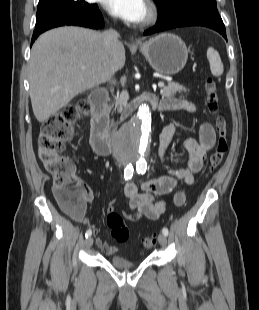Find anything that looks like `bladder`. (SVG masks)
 <instances>
[{
	"instance_id": "1",
	"label": "bladder",
	"mask_w": 259,
	"mask_h": 310,
	"mask_svg": "<svg viewBox=\"0 0 259 310\" xmlns=\"http://www.w3.org/2000/svg\"><path fill=\"white\" fill-rule=\"evenodd\" d=\"M109 263L118 269H131L135 266V263L120 255H112L109 258Z\"/></svg>"
}]
</instances>
